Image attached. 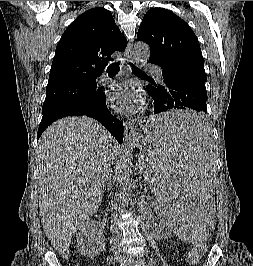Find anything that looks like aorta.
Segmentation results:
<instances>
[{"instance_id":"762f6f07","label":"aorta","mask_w":253,"mask_h":266,"mask_svg":"<svg viewBox=\"0 0 253 266\" xmlns=\"http://www.w3.org/2000/svg\"><path fill=\"white\" fill-rule=\"evenodd\" d=\"M133 56L136 60L146 63L150 57V48L146 43L138 42L134 45ZM118 195L123 204H127L134 189L133 165L130 157H124L118 172Z\"/></svg>"}]
</instances>
